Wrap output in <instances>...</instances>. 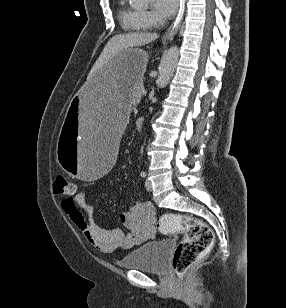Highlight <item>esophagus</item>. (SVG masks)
<instances>
[{"label":"esophagus","mask_w":286,"mask_h":308,"mask_svg":"<svg viewBox=\"0 0 286 308\" xmlns=\"http://www.w3.org/2000/svg\"><path fill=\"white\" fill-rule=\"evenodd\" d=\"M184 3H185V0H180V11H179L178 16L175 19L173 25L170 27V29L165 34V36H164L165 40H168V39L174 37V35L177 33V31L180 27V21L182 19V15H183V12H184Z\"/></svg>","instance_id":"obj_1"}]
</instances>
